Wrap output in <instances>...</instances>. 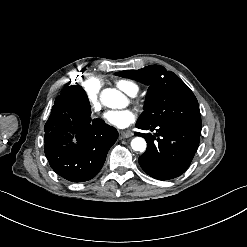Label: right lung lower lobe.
Returning <instances> with one entry per match:
<instances>
[{
	"label": "right lung lower lobe",
	"mask_w": 247,
	"mask_h": 247,
	"mask_svg": "<svg viewBox=\"0 0 247 247\" xmlns=\"http://www.w3.org/2000/svg\"><path fill=\"white\" fill-rule=\"evenodd\" d=\"M90 115V107L64 88L44 127L48 162L59 176L71 182L95 177L118 138L114 127L99 118L92 120Z\"/></svg>",
	"instance_id": "right-lung-lower-lobe-1"
}]
</instances>
